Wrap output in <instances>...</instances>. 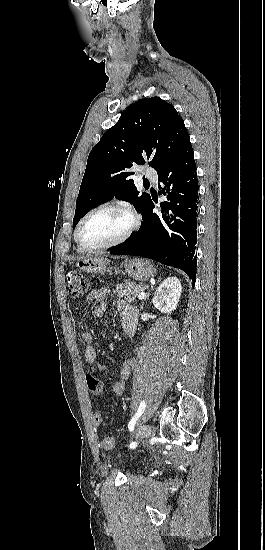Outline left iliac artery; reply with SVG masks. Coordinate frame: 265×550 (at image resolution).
Wrapping results in <instances>:
<instances>
[{"label":"left iliac artery","instance_id":"left-iliac-artery-1","mask_svg":"<svg viewBox=\"0 0 265 550\" xmlns=\"http://www.w3.org/2000/svg\"><path fill=\"white\" fill-rule=\"evenodd\" d=\"M145 407H146V403H145V401L143 400V401H141V403H140V405H139V408H138L136 414L134 415V417L131 419V421H130L129 424H128V428H129L130 431H133V430H134L135 423H136V421L138 420V418L142 415V413L144 412ZM135 447H137V443H136V442L130 443L129 448L134 449Z\"/></svg>","mask_w":265,"mask_h":550}]
</instances>
